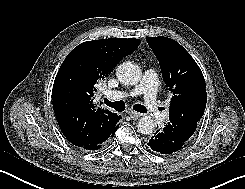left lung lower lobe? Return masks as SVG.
Returning a JSON list of instances; mask_svg holds the SVG:
<instances>
[{"instance_id": "left-lung-lower-lobe-1", "label": "left lung lower lobe", "mask_w": 245, "mask_h": 189, "mask_svg": "<svg viewBox=\"0 0 245 189\" xmlns=\"http://www.w3.org/2000/svg\"><path fill=\"white\" fill-rule=\"evenodd\" d=\"M185 144L186 142L183 141H174L165 128L158 129L147 143L153 151L161 154H173L183 148Z\"/></svg>"}]
</instances>
